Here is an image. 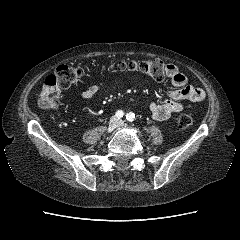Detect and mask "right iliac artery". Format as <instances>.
Here are the masks:
<instances>
[{"mask_svg": "<svg viewBox=\"0 0 240 240\" xmlns=\"http://www.w3.org/2000/svg\"><path fill=\"white\" fill-rule=\"evenodd\" d=\"M124 116V112L122 111V110H118L117 112H116V117L117 118H122Z\"/></svg>", "mask_w": 240, "mask_h": 240, "instance_id": "1", "label": "right iliac artery"}]
</instances>
